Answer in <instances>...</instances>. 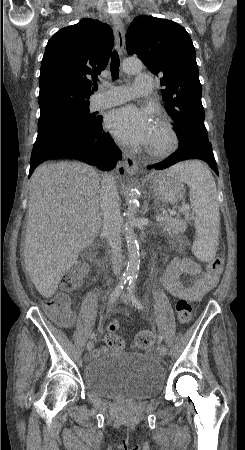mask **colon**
I'll list each match as a JSON object with an SVG mask.
<instances>
[{"label": "colon", "instance_id": "1", "mask_svg": "<svg viewBox=\"0 0 245 450\" xmlns=\"http://www.w3.org/2000/svg\"><path fill=\"white\" fill-rule=\"evenodd\" d=\"M90 261L84 259L76 264L73 270L68 273L61 280V291L56 293L50 300L46 301L45 306L48 314L52 320L58 325L68 328L74 323V317L69 310V297L68 292L75 290L77 282L84 276H86L89 268ZM223 267V260L220 257H216L210 262V271L218 274ZM191 304L185 298H181L176 303L177 318L181 323H187L191 318ZM109 333L105 337L106 343L114 350H120L123 348L124 343L121 337L114 334V331L118 328L116 321H111L107 325ZM154 336L150 331H141L137 334L134 340V346L137 348H147L153 342Z\"/></svg>", "mask_w": 245, "mask_h": 450}]
</instances>
